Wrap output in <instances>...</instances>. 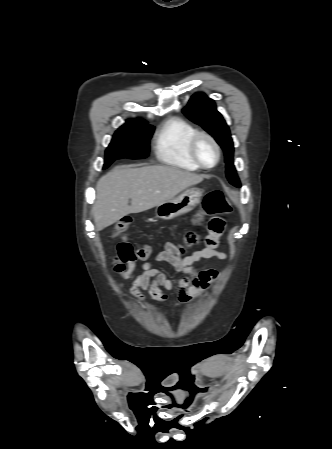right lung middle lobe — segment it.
<instances>
[{
	"label": "right lung middle lobe",
	"mask_w": 332,
	"mask_h": 449,
	"mask_svg": "<svg viewBox=\"0 0 332 449\" xmlns=\"http://www.w3.org/2000/svg\"><path fill=\"white\" fill-rule=\"evenodd\" d=\"M154 127L144 120H128L114 134L106 149L104 169L116 159H143L149 154Z\"/></svg>",
	"instance_id": "right-lung-middle-lobe-1"
}]
</instances>
